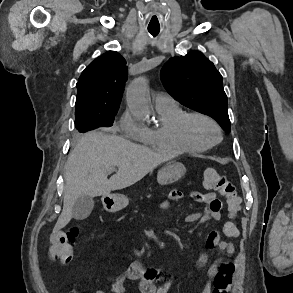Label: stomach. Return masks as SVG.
<instances>
[{"label":"stomach","mask_w":293,"mask_h":293,"mask_svg":"<svg viewBox=\"0 0 293 293\" xmlns=\"http://www.w3.org/2000/svg\"><path fill=\"white\" fill-rule=\"evenodd\" d=\"M186 172L185 166L176 161H170L158 172L157 181L160 185H169L180 180ZM104 208L116 212L125 208L129 199L123 194H111L102 199Z\"/></svg>","instance_id":"1"}]
</instances>
